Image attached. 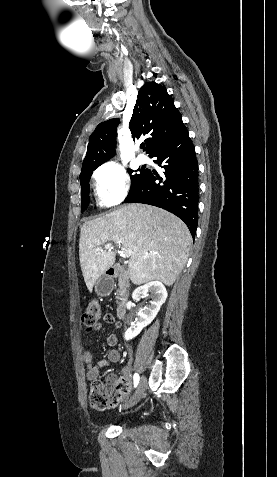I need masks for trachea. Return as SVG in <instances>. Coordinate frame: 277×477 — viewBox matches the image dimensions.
I'll return each instance as SVG.
<instances>
[{
	"instance_id": "1",
	"label": "trachea",
	"mask_w": 277,
	"mask_h": 477,
	"mask_svg": "<svg viewBox=\"0 0 277 477\" xmlns=\"http://www.w3.org/2000/svg\"><path fill=\"white\" fill-rule=\"evenodd\" d=\"M144 146H145L144 144H141V146H140V147H141V148H144Z\"/></svg>"
}]
</instances>
